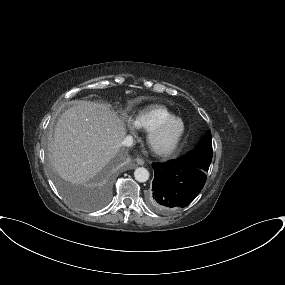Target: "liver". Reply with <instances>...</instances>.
<instances>
[{"label": "liver", "mask_w": 285, "mask_h": 285, "mask_svg": "<svg viewBox=\"0 0 285 285\" xmlns=\"http://www.w3.org/2000/svg\"><path fill=\"white\" fill-rule=\"evenodd\" d=\"M125 135L123 120L108 105L80 101L58 119L52 165L66 181L87 182L115 156Z\"/></svg>", "instance_id": "1"}]
</instances>
